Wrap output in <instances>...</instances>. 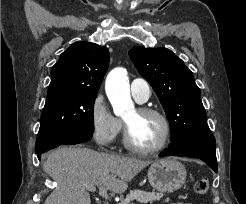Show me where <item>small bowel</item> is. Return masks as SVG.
<instances>
[{"label":"small bowel","mask_w":246,"mask_h":204,"mask_svg":"<svg viewBox=\"0 0 246 204\" xmlns=\"http://www.w3.org/2000/svg\"><path fill=\"white\" fill-rule=\"evenodd\" d=\"M170 204H191V203L177 202V203H170Z\"/></svg>","instance_id":"c3829d8e"}]
</instances>
